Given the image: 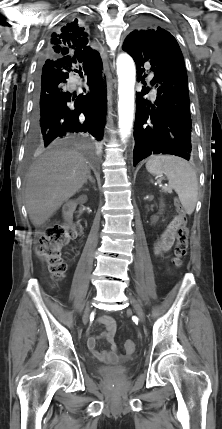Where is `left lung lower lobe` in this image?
I'll return each instance as SVG.
<instances>
[{
    "instance_id": "1",
    "label": "left lung lower lobe",
    "mask_w": 222,
    "mask_h": 429,
    "mask_svg": "<svg viewBox=\"0 0 222 429\" xmlns=\"http://www.w3.org/2000/svg\"><path fill=\"white\" fill-rule=\"evenodd\" d=\"M150 48L153 47L144 41L133 43L127 51L136 63L138 75L145 72L144 65L151 66L154 72L151 83L157 88L154 104L143 98L149 88L143 86L136 94L134 166L153 154H171L189 160L192 151L188 78L181 49L167 32L162 42Z\"/></svg>"
}]
</instances>
